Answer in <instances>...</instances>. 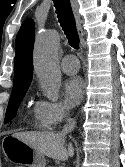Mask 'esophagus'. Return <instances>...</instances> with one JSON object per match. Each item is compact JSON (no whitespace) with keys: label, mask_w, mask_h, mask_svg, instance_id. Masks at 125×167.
I'll list each match as a JSON object with an SVG mask.
<instances>
[{"label":"esophagus","mask_w":125,"mask_h":167,"mask_svg":"<svg viewBox=\"0 0 125 167\" xmlns=\"http://www.w3.org/2000/svg\"><path fill=\"white\" fill-rule=\"evenodd\" d=\"M71 2V6H72V11L75 17V21H76V27H77V31L80 35L81 40L83 41L84 38V32H83V28H82V21H81V16L79 13V5L77 0H70Z\"/></svg>","instance_id":"obj_1"}]
</instances>
